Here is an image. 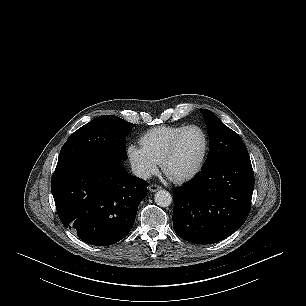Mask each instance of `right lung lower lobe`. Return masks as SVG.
I'll return each mask as SVG.
<instances>
[{"instance_id":"1","label":"right lung lower lobe","mask_w":306,"mask_h":306,"mask_svg":"<svg viewBox=\"0 0 306 306\" xmlns=\"http://www.w3.org/2000/svg\"><path fill=\"white\" fill-rule=\"evenodd\" d=\"M148 185L123 160L85 159L55 170L51 191L65 227L88 244L108 246L130 232Z\"/></svg>"}]
</instances>
